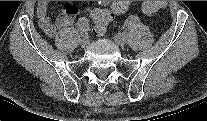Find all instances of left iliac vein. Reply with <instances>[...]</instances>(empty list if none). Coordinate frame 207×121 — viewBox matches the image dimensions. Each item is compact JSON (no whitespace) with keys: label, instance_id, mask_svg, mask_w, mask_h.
I'll return each instance as SVG.
<instances>
[{"label":"left iliac vein","instance_id":"4c4485c4","mask_svg":"<svg viewBox=\"0 0 207 121\" xmlns=\"http://www.w3.org/2000/svg\"><path fill=\"white\" fill-rule=\"evenodd\" d=\"M114 41L116 42V44L124 46L126 43V37L124 34L118 33L114 36Z\"/></svg>","mask_w":207,"mask_h":121}]
</instances>
